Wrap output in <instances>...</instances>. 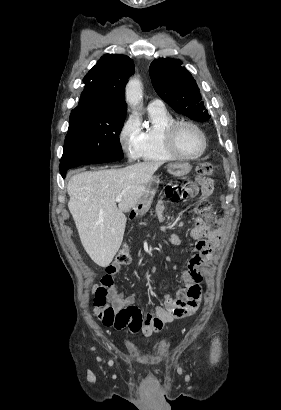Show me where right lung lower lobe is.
Returning a JSON list of instances; mask_svg holds the SVG:
<instances>
[{"instance_id": "right-lung-lower-lobe-1", "label": "right lung lower lobe", "mask_w": 281, "mask_h": 410, "mask_svg": "<svg viewBox=\"0 0 281 410\" xmlns=\"http://www.w3.org/2000/svg\"><path fill=\"white\" fill-rule=\"evenodd\" d=\"M66 171H67V170H66ZM66 171H62V172H61V175H62L63 178L65 177Z\"/></svg>"}]
</instances>
